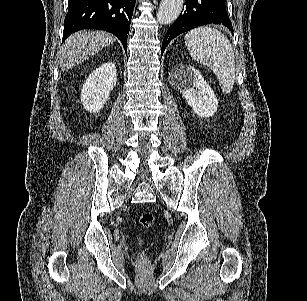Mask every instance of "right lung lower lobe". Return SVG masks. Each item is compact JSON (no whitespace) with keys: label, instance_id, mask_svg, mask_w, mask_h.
<instances>
[{"label":"right lung lower lobe","instance_id":"obj_1","mask_svg":"<svg viewBox=\"0 0 307 301\" xmlns=\"http://www.w3.org/2000/svg\"><path fill=\"white\" fill-rule=\"evenodd\" d=\"M135 0H69L63 41L81 29H99L117 36L126 50Z\"/></svg>","mask_w":307,"mask_h":301}]
</instances>
